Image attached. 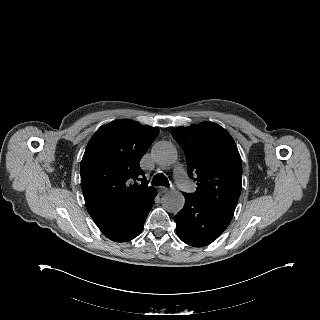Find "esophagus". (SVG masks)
I'll return each mask as SVG.
<instances>
[{
	"label": "esophagus",
	"mask_w": 320,
	"mask_h": 320,
	"mask_svg": "<svg viewBox=\"0 0 320 320\" xmlns=\"http://www.w3.org/2000/svg\"><path fill=\"white\" fill-rule=\"evenodd\" d=\"M158 191H159V193H160V194H163V193H167V192H169V191H170V189H169V188H167V187H163V186H161V187H159Z\"/></svg>",
	"instance_id": "obj_1"
}]
</instances>
